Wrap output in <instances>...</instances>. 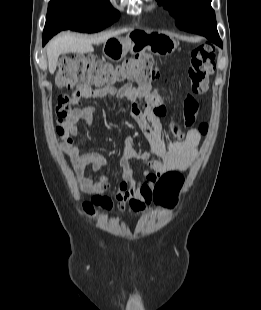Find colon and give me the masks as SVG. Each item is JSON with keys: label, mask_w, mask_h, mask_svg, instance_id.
Segmentation results:
<instances>
[{"label": "colon", "mask_w": 261, "mask_h": 310, "mask_svg": "<svg viewBox=\"0 0 261 310\" xmlns=\"http://www.w3.org/2000/svg\"><path fill=\"white\" fill-rule=\"evenodd\" d=\"M215 68V50L207 45L197 46L191 53L188 76L192 90L195 93H204L207 89L208 78ZM159 73L155 68L153 58L147 54H141L113 65L96 59L90 55L73 54L60 60L59 69L56 74V83L60 88L70 89L78 83L97 89L112 87L121 82H136L147 84L156 80ZM73 99L68 95H61L55 108L59 121L57 131L59 134L65 132L64 122L69 116ZM208 126L200 124L198 130L206 134ZM183 176L177 171L165 173L158 181L153 199L156 203L163 205H174L177 195L183 186ZM112 202L108 197L96 195L84 204L87 213H93L95 208L109 210Z\"/></svg>", "instance_id": "obj_1"}]
</instances>
